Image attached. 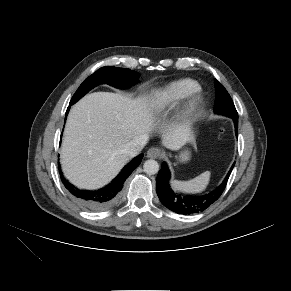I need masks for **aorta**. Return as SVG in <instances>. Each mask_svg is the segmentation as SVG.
<instances>
[{"mask_svg": "<svg viewBox=\"0 0 291 291\" xmlns=\"http://www.w3.org/2000/svg\"><path fill=\"white\" fill-rule=\"evenodd\" d=\"M143 168L147 174L154 175L159 171V164L157 161L150 159L145 161Z\"/></svg>", "mask_w": 291, "mask_h": 291, "instance_id": "762f6f07", "label": "aorta"}]
</instances>
